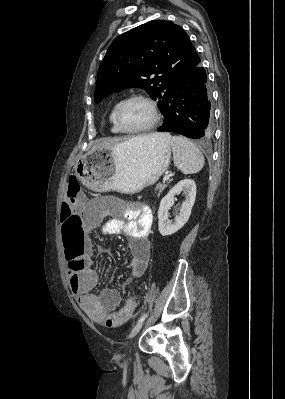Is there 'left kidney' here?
Instances as JSON below:
<instances>
[{
  "instance_id": "5707ae66",
  "label": "left kidney",
  "mask_w": 285,
  "mask_h": 399,
  "mask_svg": "<svg viewBox=\"0 0 285 399\" xmlns=\"http://www.w3.org/2000/svg\"><path fill=\"white\" fill-rule=\"evenodd\" d=\"M186 194V199L182 203L180 213L176 216L174 222L168 219V210L174 204V197L180 192ZM196 198V184L192 179H183L179 181L169 193L161 200L158 210V230L162 236H168L180 230L188 221L191 210Z\"/></svg>"
}]
</instances>
